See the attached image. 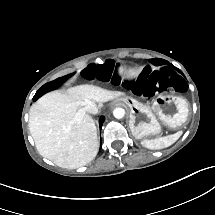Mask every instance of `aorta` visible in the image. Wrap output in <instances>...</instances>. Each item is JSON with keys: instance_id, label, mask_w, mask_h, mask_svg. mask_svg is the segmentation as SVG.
Instances as JSON below:
<instances>
[{"instance_id": "762f6f07", "label": "aorta", "mask_w": 215, "mask_h": 215, "mask_svg": "<svg viewBox=\"0 0 215 215\" xmlns=\"http://www.w3.org/2000/svg\"><path fill=\"white\" fill-rule=\"evenodd\" d=\"M124 114H125V110L123 108H121V107H116L113 110V116L115 118H118V119L123 118Z\"/></svg>"}]
</instances>
